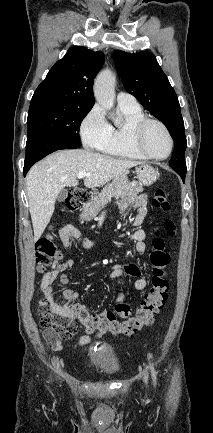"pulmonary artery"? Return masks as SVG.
I'll return each instance as SVG.
<instances>
[{
    "instance_id": "e3ab8cb5",
    "label": "pulmonary artery",
    "mask_w": 213,
    "mask_h": 433,
    "mask_svg": "<svg viewBox=\"0 0 213 433\" xmlns=\"http://www.w3.org/2000/svg\"><path fill=\"white\" fill-rule=\"evenodd\" d=\"M117 101L119 105H126V106H139L136 98L127 92H120L117 95Z\"/></svg>"
}]
</instances>
